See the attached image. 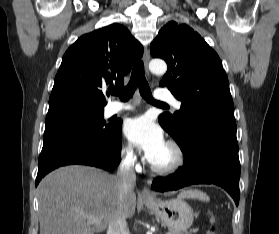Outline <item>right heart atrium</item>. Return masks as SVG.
Here are the masks:
<instances>
[{
    "label": "right heart atrium",
    "instance_id": "right-heart-atrium-1",
    "mask_svg": "<svg viewBox=\"0 0 279 234\" xmlns=\"http://www.w3.org/2000/svg\"><path fill=\"white\" fill-rule=\"evenodd\" d=\"M120 159L122 163L132 168H135L139 163L138 153L130 144L122 145L120 149Z\"/></svg>",
    "mask_w": 279,
    "mask_h": 234
}]
</instances>
